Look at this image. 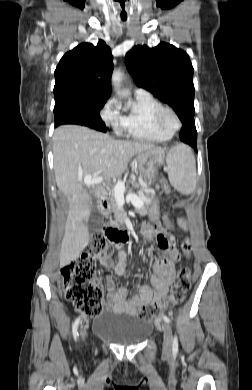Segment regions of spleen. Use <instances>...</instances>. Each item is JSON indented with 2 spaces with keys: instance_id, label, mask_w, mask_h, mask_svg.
Returning a JSON list of instances; mask_svg holds the SVG:
<instances>
[{
  "instance_id": "obj_1",
  "label": "spleen",
  "mask_w": 252,
  "mask_h": 390,
  "mask_svg": "<svg viewBox=\"0 0 252 390\" xmlns=\"http://www.w3.org/2000/svg\"><path fill=\"white\" fill-rule=\"evenodd\" d=\"M166 164L171 185L182 194L193 193L196 188V164L190 148L184 145L171 148Z\"/></svg>"
}]
</instances>
